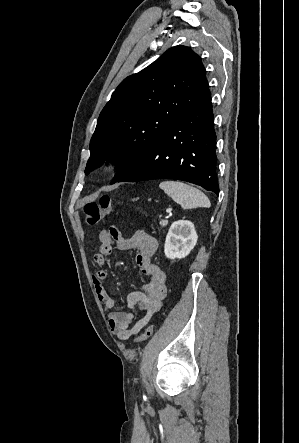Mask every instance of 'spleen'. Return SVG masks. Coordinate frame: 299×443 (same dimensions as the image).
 I'll return each mask as SVG.
<instances>
[{
    "label": "spleen",
    "mask_w": 299,
    "mask_h": 443,
    "mask_svg": "<svg viewBox=\"0 0 299 443\" xmlns=\"http://www.w3.org/2000/svg\"><path fill=\"white\" fill-rule=\"evenodd\" d=\"M159 187L184 209L211 206L209 198L202 191L183 182L163 181Z\"/></svg>",
    "instance_id": "1"
}]
</instances>
